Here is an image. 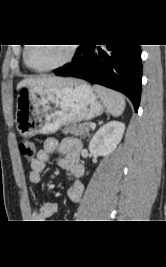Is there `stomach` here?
<instances>
[{"instance_id":"0dacf381","label":"stomach","mask_w":166,"mask_h":267,"mask_svg":"<svg viewBox=\"0 0 166 267\" xmlns=\"http://www.w3.org/2000/svg\"><path fill=\"white\" fill-rule=\"evenodd\" d=\"M104 110L99 95L83 82L64 87H25L17 97L15 123L18 133L30 138L91 120Z\"/></svg>"}]
</instances>
